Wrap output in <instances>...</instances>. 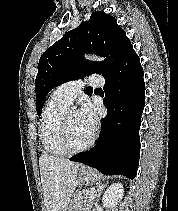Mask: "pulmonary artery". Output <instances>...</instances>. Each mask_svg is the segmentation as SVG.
<instances>
[{
    "label": "pulmonary artery",
    "mask_w": 178,
    "mask_h": 211,
    "mask_svg": "<svg viewBox=\"0 0 178 211\" xmlns=\"http://www.w3.org/2000/svg\"><path fill=\"white\" fill-rule=\"evenodd\" d=\"M103 84L104 80L98 74H92L87 78L75 79L60 85L55 90V94L70 104L85 86L97 87Z\"/></svg>",
    "instance_id": "obj_1"
}]
</instances>
